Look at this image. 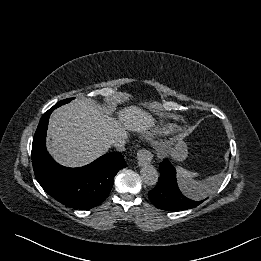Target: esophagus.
Instances as JSON below:
<instances>
[{
    "label": "esophagus",
    "instance_id": "esophagus-1",
    "mask_svg": "<svg viewBox=\"0 0 261 261\" xmlns=\"http://www.w3.org/2000/svg\"><path fill=\"white\" fill-rule=\"evenodd\" d=\"M153 154L147 149H141L137 152V162L139 166H143L152 161Z\"/></svg>",
    "mask_w": 261,
    "mask_h": 261
}]
</instances>
